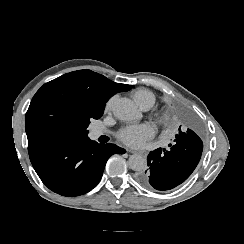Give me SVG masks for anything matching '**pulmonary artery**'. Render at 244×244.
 <instances>
[{"mask_svg": "<svg viewBox=\"0 0 244 244\" xmlns=\"http://www.w3.org/2000/svg\"><path fill=\"white\" fill-rule=\"evenodd\" d=\"M142 110H143V111H148V110H149V107H148V106H144V107L142 108ZM101 134H102V131H101V130L94 129V130L91 131V133H90V137H91V138H97V137H99Z\"/></svg>", "mask_w": 244, "mask_h": 244, "instance_id": "pulmonary-artery-1", "label": "pulmonary artery"}]
</instances>
